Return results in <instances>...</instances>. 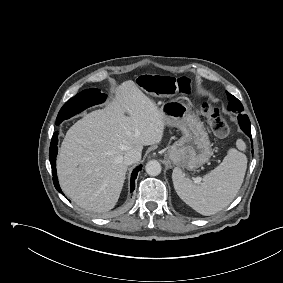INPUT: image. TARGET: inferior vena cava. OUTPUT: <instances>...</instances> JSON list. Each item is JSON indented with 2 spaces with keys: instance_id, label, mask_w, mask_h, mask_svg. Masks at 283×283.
<instances>
[{
  "instance_id": "obj_1",
  "label": "inferior vena cava",
  "mask_w": 283,
  "mask_h": 283,
  "mask_svg": "<svg viewBox=\"0 0 283 283\" xmlns=\"http://www.w3.org/2000/svg\"><path fill=\"white\" fill-rule=\"evenodd\" d=\"M141 158V153L137 150H129L123 156V161L126 165H131Z\"/></svg>"
}]
</instances>
